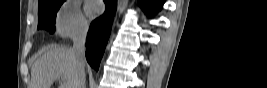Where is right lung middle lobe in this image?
Listing matches in <instances>:
<instances>
[{
	"mask_svg": "<svg viewBox=\"0 0 267 88\" xmlns=\"http://www.w3.org/2000/svg\"><path fill=\"white\" fill-rule=\"evenodd\" d=\"M65 0H42L38 5V29L55 31L56 14Z\"/></svg>",
	"mask_w": 267,
	"mask_h": 88,
	"instance_id": "obj_1",
	"label": "right lung middle lobe"
}]
</instances>
